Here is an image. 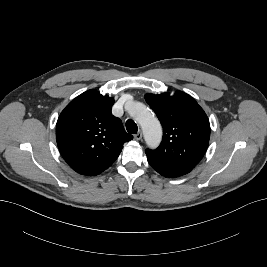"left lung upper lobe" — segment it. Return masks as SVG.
<instances>
[{
	"mask_svg": "<svg viewBox=\"0 0 267 267\" xmlns=\"http://www.w3.org/2000/svg\"><path fill=\"white\" fill-rule=\"evenodd\" d=\"M145 100L163 126V138L155 150H146L150 162L193 169L203 158L209 143L207 115L188 94H146Z\"/></svg>",
	"mask_w": 267,
	"mask_h": 267,
	"instance_id": "left-lung-upper-lobe-1",
	"label": "left lung upper lobe"
}]
</instances>
